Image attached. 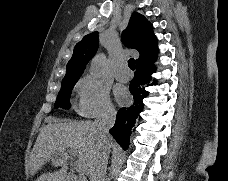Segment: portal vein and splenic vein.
Segmentation results:
<instances>
[{"label": "portal vein and splenic vein", "instance_id": "1", "mask_svg": "<svg viewBox=\"0 0 228 181\" xmlns=\"http://www.w3.org/2000/svg\"><path fill=\"white\" fill-rule=\"evenodd\" d=\"M68 155H72V157H77L78 155V151H68ZM78 167V173L79 175H87L89 169L87 167V165H82V163H79V165H77Z\"/></svg>", "mask_w": 228, "mask_h": 181}]
</instances>
